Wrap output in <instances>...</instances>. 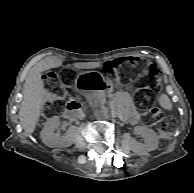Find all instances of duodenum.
Instances as JSON below:
<instances>
[{"label": "duodenum", "instance_id": "duodenum-1", "mask_svg": "<svg viewBox=\"0 0 194 193\" xmlns=\"http://www.w3.org/2000/svg\"><path fill=\"white\" fill-rule=\"evenodd\" d=\"M81 113V104L76 98H72L67 102L66 109L64 110V117L72 119Z\"/></svg>", "mask_w": 194, "mask_h": 193}]
</instances>
